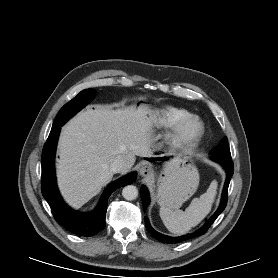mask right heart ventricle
I'll return each instance as SVG.
<instances>
[{"mask_svg": "<svg viewBox=\"0 0 278 278\" xmlns=\"http://www.w3.org/2000/svg\"><path fill=\"white\" fill-rule=\"evenodd\" d=\"M192 115L184 108L165 106L157 110L156 117L158 122L165 128H174L181 120Z\"/></svg>", "mask_w": 278, "mask_h": 278, "instance_id": "e07e8e85", "label": "right heart ventricle"}]
</instances>
